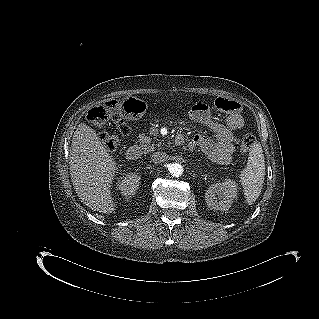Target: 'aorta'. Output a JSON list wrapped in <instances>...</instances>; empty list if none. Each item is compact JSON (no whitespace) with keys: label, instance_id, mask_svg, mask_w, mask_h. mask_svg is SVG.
<instances>
[{"label":"aorta","instance_id":"762f6f07","mask_svg":"<svg viewBox=\"0 0 319 319\" xmlns=\"http://www.w3.org/2000/svg\"><path fill=\"white\" fill-rule=\"evenodd\" d=\"M169 172L173 177H179L183 174V167L179 163H173L169 166Z\"/></svg>","mask_w":319,"mask_h":319}]
</instances>
